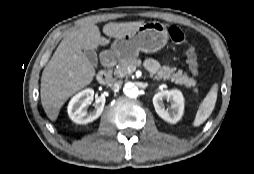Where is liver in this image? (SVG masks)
Wrapping results in <instances>:
<instances>
[{
  "label": "liver",
  "instance_id": "obj_1",
  "mask_svg": "<svg viewBox=\"0 0 254 174\" xmlns=\"http://www.w3.org/2000/svg\"><path fill=\"white\" fill-rule=\"evenodd\" d=\"M143 24L144 21L111 22L103 26V33L121 38ZM108 44L109 40L101 37L98 26L93 23L69 32L60 42L41 77V103L50 120L55 121L68 98L89 85L95 76V68L83 50Z\"/></svg>",
  "mask_w": 254,
  "mask_h": 174
}]
</instances>
